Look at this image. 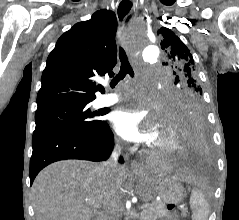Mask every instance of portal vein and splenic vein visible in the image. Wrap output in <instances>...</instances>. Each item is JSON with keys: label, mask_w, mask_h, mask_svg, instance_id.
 <instances>
[{"label": "portal vein and splenic vein", "mask_w": 239, "mask_h": 220, "mask_svg": "<svg viewBox=\"0 0 239 220\" xmlns=\"http://www.w3.org/2000/svg\"><path fill=\"white\" fill-rule=\"evenodd\" d=\"M147 206H148V203H144V204L141 205V209L144 210V209L147 208Z\"/></svg>", "instance_id": "obj_1"}]
</instances>
